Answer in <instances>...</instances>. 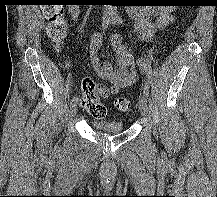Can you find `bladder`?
I'll list each match as a JSON object with an SVG mask.
<instances>
[{
  "label": "bladder",
  "instance_id": "bladder-1",
  "mask_svg": "<svg viewBox=\"0 0 217 197\" xmlns=\"http://www.w3.org/2000/svg\"><path fill=\"white\" fill-rule=\"evenodd\" d=\"M93 127L107 134H116L123 131L124 127L119 120H95L92 122Z\"/></svg>",
  "mask_w": 217,
  "mask_h": 197
}]
</instances>
